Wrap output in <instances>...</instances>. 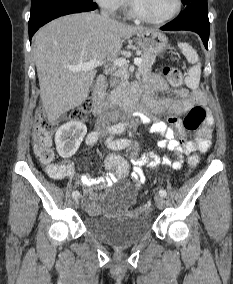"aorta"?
<instances>
[{"instance_id": "obj_1", "label": "aorta", "mask_w": 233, "mask_h": 284, "mask_svg": "<svg viewBox=\"0 0 233 284\" xmlns=\"http://www.w3.org/2000/svg\"><path fill=\"white\" fill-rule=\"evenodd\" d=\"M126 125H127V123L122 124V126H124V127H125Z\"/></svg>"}]
</instances>
